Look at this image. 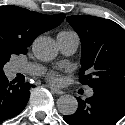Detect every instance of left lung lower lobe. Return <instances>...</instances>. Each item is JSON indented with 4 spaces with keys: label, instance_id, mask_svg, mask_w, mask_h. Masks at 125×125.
Segmentation results:
<instances>
[{
    "label": "left lung lower lobe",
    "instance_id": "obj_1",
    "mask_svg": "<svg viewBox=\"0 0 125 125\" xmlns=\"http://www.w3.org/2000/svg\"><path fill=\"white\" fill-rule=\"evenodd\" d=\"M94 95L85 101L77 98L78 109L63 119L69 125H114L125 115V89L94 88Z\"/></svg>",
    "mask_w": 125,
    "mask_h": 125
}]
</instances>
